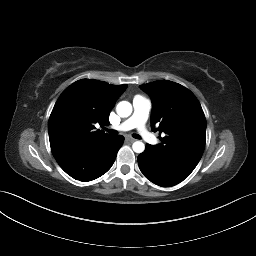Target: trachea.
Returning <instances> with one entry per match:
<instances>
[{"label":"trachea","instance_id":"3493384b","mask_svg":"<svg viewBox=\"0 0 256 256\" xmlns=\"http://www.w3.org/2000/svg\"><path fill=\"white\" fill-rule=\"evenodd\" d=\"M108 132L112 136L117 135V131L116 130H108ZM133 137L136 138V139H140L141 138L138 134H134Z\"/></svg>","mask_w":256,"mask_h":256}]
</instances>
